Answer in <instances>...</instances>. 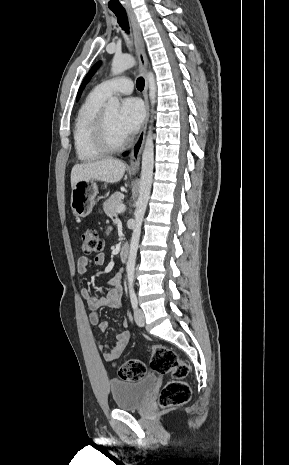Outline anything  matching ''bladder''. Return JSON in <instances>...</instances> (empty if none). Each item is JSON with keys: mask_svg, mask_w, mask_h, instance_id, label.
Listing matches in <instances>:
<instances>
[{"mask_svg": "<svg viewBox=\"0 0 289 465\" xmlns=\"http://www.w3.org/2000/svg\"><path fill=\"white\" fill-rule=\"evenodd\" d=\"M157 384L155 375H148L138 381L111 380V395L116 408L120 410H136L148 401Z\"/></svg>", "mask_w": 289, "mask_h": 465, "instance_id": "bladder-1", "label": "bladder"}]
</instances>
